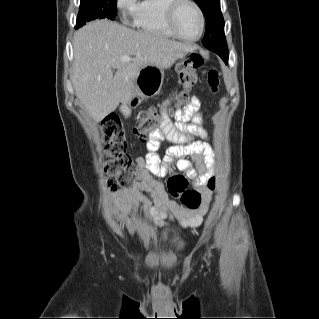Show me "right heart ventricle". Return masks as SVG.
I'll return each mask as SVG.
<instances>
[{"instance_id":"obj_1","label":"right heart ventricle","mask_w":319,"mask_h":319,"mask_svg":"<svg viewBox=\"0 0 319 319\" xmlns=\"http://www.w3.org/2000/svg\"><path fill=\"white\" fill-rule=\"evenodd\" d=\"M169 0H142L133 12V21L142 31L171 38L172 33L165 21V10Z\"/></svg>"}]
</instances>
